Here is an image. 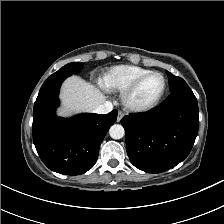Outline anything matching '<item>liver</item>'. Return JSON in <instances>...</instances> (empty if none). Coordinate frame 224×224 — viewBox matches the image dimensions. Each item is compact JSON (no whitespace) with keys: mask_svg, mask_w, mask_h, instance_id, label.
Wrapping results in <instances>:
<instances>
[{"mask_svg":"<svg viewBox=\"0 0 224 224\" xmlns=\"http://www.w3.org/2000/svg\"><path fill=\"white\" fill-rule=\"evenodd\" d=\"M61 99L64 108L59 115L73 111L92 112L98 105L105 102L104 94L95 85L77 76H72L64 82Z\"/></svg>","mask_w":224,"mask_h":224,"instance_id":"obj_1","label":"liver"}]
</instances>
